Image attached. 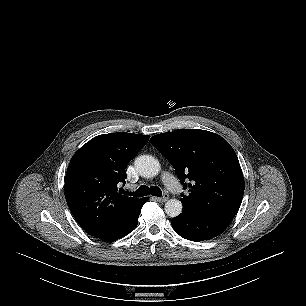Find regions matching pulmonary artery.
Wrapping results in <instances>:
<instances>
[{
    "label": "pulmonary artery",
    "instance_id": "1",
    "mask_svg": "<svg viewBox=\"0 0 306 306\" xmlns=\"http://www.w3.org/2000/svg\"><path fill=\"white\" fill-rule=\"evenodd\" d=\"M162 178L169 190L174 192L179 188L177 179L169 172H165Z\"/></svg>",
    "mask_w": 306,
    "mask_h": 306
}]
</instances>
